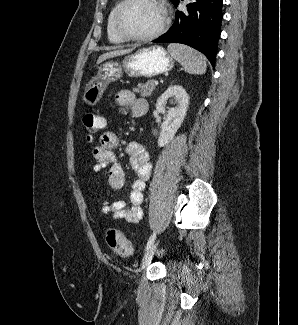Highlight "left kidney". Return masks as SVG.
Masks as SVG:
<instances>
[{
  "mask_svg": "<svg viewBox=\"0 0 298 325\" xmlns=\"http://www.w3.org/2000/svg\"><path fill=\"white\" fill-rule=\"evenodd\" d=\"M171 98L176 106H171L169 110H165V106ZM189 96L181 86V84H172L168 86L165 92L157 98L155 104L157 112L165 114V118L161 124V132L158 138V146H165L170 140H173L178 128H180L188 110Z\"/></svg>",
  "mask_w": 298,
  "mask_h": 325,
  "instance_id": "left-kidney-1",
  "label": "left kidney"
}]
</instances>
